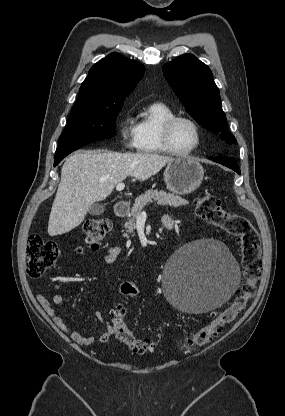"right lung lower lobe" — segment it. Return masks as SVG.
<instances>
[{
  "label": "right lung lower lobe",
  "instance_id": "98d812e1",
  "mask_svg": "<svg viewBox=\"0 0 285 416\" xmlns=\"http://www.w3.org/2000/svg\"><path fill=\"white\" fill-rule=\"evenodd\" d=\"M89 143L91 142H78L65 145H58L55 154L54 166H57L61 162V160L64 159L67 155H69L71 152Z\"/></svg>",
  "mask_w": 285,
  "mask_h": 416
}]
</instances>
